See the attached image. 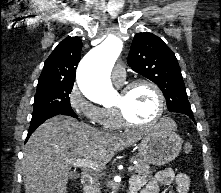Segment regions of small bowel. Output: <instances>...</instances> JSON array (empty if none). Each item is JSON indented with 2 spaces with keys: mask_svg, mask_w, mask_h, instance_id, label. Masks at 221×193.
<instances>
[{
  "mask_svg": "<svg viewBox=\"0 0 221 193\" xmlns=\"http://www.w3.org/2000/svg\"><path fill=\"white\" fill-rule=\"evenodd\" d=\"M190 178L186 173H175L171 168H162L149 180L145 176H134L130 181V190L136 193H159L162 186L175 184V193H188Z\"/></svg>",
  "mask_w": 221,
  "mask_h": 193,
  "instance_id": "small-bowel-1",
  "label": "small bowel"
}]
</instances>
